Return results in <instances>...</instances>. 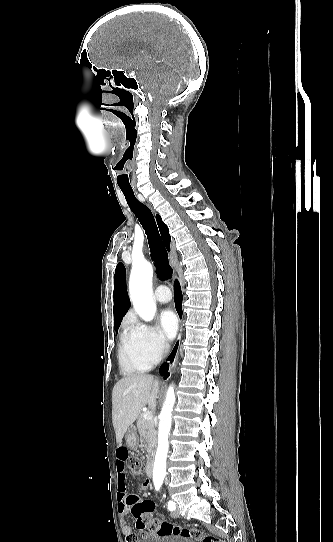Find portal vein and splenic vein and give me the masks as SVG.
Returning a JSON list of instances; mask_svg holds the SVG:
<instances>
[{"label":"portal vein and splenic vein","mask_w":333,"mask_h":542,"mask_svg":"<svg viewBox=\"0 0 333 542\" xmlns=\"http://www.w3.org/2000/svg\"><path fill=\"white\" fill-rule=\"evenodd\" d=\"M143 418H145V420H152L153 418L152 412H144Z\"/></svg>","instance_id":"portal-vein-and-splenic-vein-1"}]
</instances>
